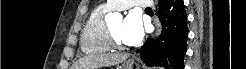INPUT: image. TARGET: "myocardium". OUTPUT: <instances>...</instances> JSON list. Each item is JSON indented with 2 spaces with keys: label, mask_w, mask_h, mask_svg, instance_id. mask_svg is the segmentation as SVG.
<instances>
[{
  "label": "myocardium",
  "mask_w": 246,
  "mask_h": 69,
  "mask_svg": "<svg viewBox=\"0 0 246 69\" xmlns=\"http://www.w3.org/2000/svg\"><path fill=\"white\" fill-rule=\"evenodd\" d=\"M108 38L109 41L111 43V45H113L114 47H123L124 44H122L112 33L110 27L108 28Z\"/></svg>",
  "instance_id": "1"
}]
</instances>
